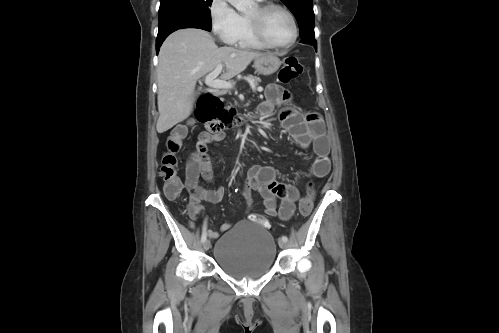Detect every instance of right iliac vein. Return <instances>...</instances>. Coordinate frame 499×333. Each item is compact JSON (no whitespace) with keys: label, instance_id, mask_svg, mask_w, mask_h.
Masks as SVG:
<instances>
[{"label":"right iliac vein","instance_id":"1","mask_svg":"<svg viewBox=\"0 0 499 333\" xmlns=\"http://www.w3.org/2000/svg\"><path fill=\"white\" fill-rule=\"evenodd\" d=\"M211 247V243L209 240H205V242L203 243V248L205 251H208Z\"/></svg>","mask_w":499,"mask_h":333}]
</instances>
